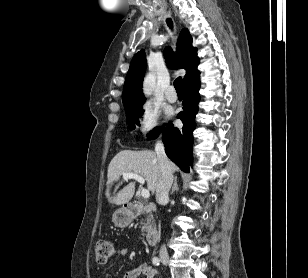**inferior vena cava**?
<instances>
[{"label": "inferior vena cava", "instance_id": "602c4592", "mask_svg": "<svg viewBox=\"0 0 308 278\" xmlns=\"http://www.w3.org/2000/svg\"><path fill=\"white\" fill-rule=\"evenodd\" d=\"M155 151L160 169V178L156 189V200L158 203H164L169 200V190L173 182V174L170 161L165 153V148L161 141H157ZM160 252H166L165 245L161 247Z\"/></svg>", "mask_w": 308, "mask_h": 278}]
</instances>
